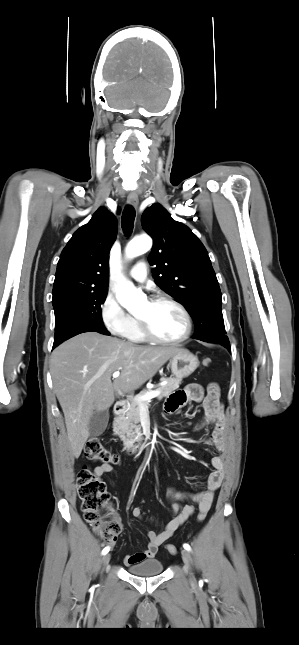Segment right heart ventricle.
<instances>
[{"instance_id": "1", "label": "right heart ventricle", "mask_w": 299, "mask_h": 645, "mask_svg": "<svg viewBox=\"0 0 299 645\" xmlns=\"http://www.w3.org/2000/svg\"><path fill=\"white\" fill-rule=\"evenodd\" d=\"M129 341L141 343L146 340L140 331L139 324L135 318H132V323L124 335Z\"/></svg>"}]
</instances>
